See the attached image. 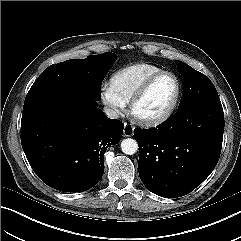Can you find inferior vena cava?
<instances>
[{
  "label": "inferior vena cava",
  "mask_w": 241,
  "mask_h": 241,
  "mask_svg": "<svg viewBox=\"0 0 241 241\" xmlns=\"http://www.w3.org/2000/svg\"><path fill=\"white\" fill-rule=\"evenodd\" d=\"M104 113L111 119H117L119 117V111L114 107H104Z\"/></svg>",
  "instance_id": "602c4592"
}]
</instances>
